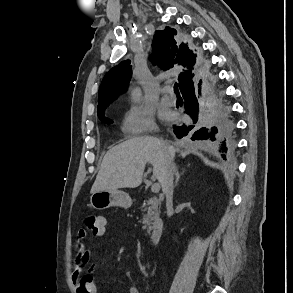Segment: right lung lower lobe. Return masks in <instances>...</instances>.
I'll list each match as a JSON object with an SVG mask.
<instances>
[{
  "mask_svg": "<svg viewBox=\"0 0 293 293\" xmlns=\"http://www.w3.org/2000/svg\"><path fill=\"white\" fill-rule=\"evenodd\" d=\"M201 80L198 83L200 87ZM200 94V90L197 91V84L195 79H192L181 89L183 98L185 99L186 112L191 116L193 123H201L204 120L201 106L198 102L197 94ZM209 120L215 121L216 126L211 128V132L207 135V129L202 127L198 130H194L193 125L174 126V133L178 138H182L187 135H191L192 140H204L210 137L212 141L217 140L220 143L222 152H227L228 149L233 147V131L234 124L229 119L226 110L214 111ZM216 135V138H215ZM225 159V154H222Z\"/></svg>",
  "mask_w": 293,
  "mask_h": 293,
  "instance_id": "obj_1",
  "label": "right lung lower lobe"
}]
</instances>
